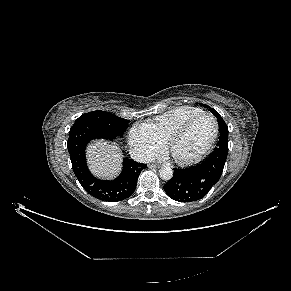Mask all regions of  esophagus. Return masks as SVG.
<instances>
[{"instance_id":"obj_1","label":"esophagus","mask_w":291,"mask_h":291,"mask_svg":"<svg viewBox=\"0 0 291 291\" xmlns=\"http://www.w3.org/2000/svg\"><path fill=\"white\" fill-rule=\"evenodd\" d=\"M148 167H149V168H159V165L156 164V163H149V164H148Z\"/></svg>"}]
</instances>
